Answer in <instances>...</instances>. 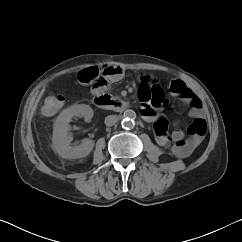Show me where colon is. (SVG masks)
<instances>
[{"mask_svg": "<svg viewBox=\"0 0 242 242\" xmlns=\"http://www.w3.org/2000/svg\"><path fill=\"white\" fill-rule=\"evenodd\" d=\"M79 80L84 84H92L94 86H99L107 81V77L96 67H88L83 69L79 73ZM172 92L179 96H188L191 98V103L195 104L197 98L191 96L189 93L184 92L183 86L179 82H174L171 86ZM139 94L141 98L149 100L154 106H160L164 100L163 91L160 86L151 78H144L141 81ZM64 98L62 95L50 93L46 96L43 104V111L45 114L55 113L63 104ZM206 126L201 122H197L193 125V129L189 132H198L201 135L206 134Z\"/></svg>", "mask_w": 242, "mask_h": 242, "instance_id": "colon-1", "label": "colon"}]
</instances>
